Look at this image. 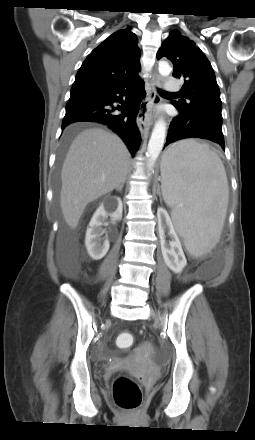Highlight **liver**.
Wrapping results in <instances>:
<instances>
[{
	"label": "liver",
	"mask_w": 255,
	"mask_h": 440,
	"mask_svg": "<svg viewBox=\"0 0 255 440\" xmlns=\"http://www.w3.org/2000/svg\"><path fill=\"white\" fill-rule=\"evenodd\" d=\"M130 153L115 134L101 128L82 131L72 142L61 171L60 206L63 218L75 229L88 205L125 180ZM166 163L161 164V174Z\"/></svg>",
	"instance_id": "6515ba94"
}]
</instances>
